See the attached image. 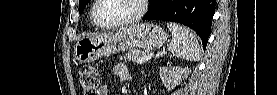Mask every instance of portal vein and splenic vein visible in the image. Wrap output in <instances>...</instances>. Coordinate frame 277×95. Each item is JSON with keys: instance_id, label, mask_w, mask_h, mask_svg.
<instances>
[{"instance_id": "portal-vein-and-splenic-vein-1", "label": "portal vein and splenic vein", "mask_w": 277, "mask_h": 95, "mask_svg": "<svg viewBox=\"0 0 277 95\" xmlns=\"http://www.w3.org/2000/svg\"><path fill=\"white\" fill-rule=\"evenodd\" d=\"M153 55H154V53H150V54H148V55H145V56L139 58L136 62H137V64L145 63V62H147L148 60H150L151 57H152Z\"/></svg>"}]
</instances>
